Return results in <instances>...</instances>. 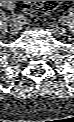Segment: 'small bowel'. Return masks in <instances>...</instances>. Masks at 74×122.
Listing matches in <instances>:
<instances>
[{
    "mask_svg": "<svg viewBox=\"0 0 74 122\" xmlns=\"http://www.w3.org/2000/svg\"><path fill=\"white\" fill-rule=\"evenodd\" d=\"M1 5L6 6V7H12L14 5V1H1Z\"/></svg>",
    "mask_w": 74,
    "mask_h": 122,
    "instance_id": "small-bowel-1",
    "label": "small bowel"
}]
</instances>
